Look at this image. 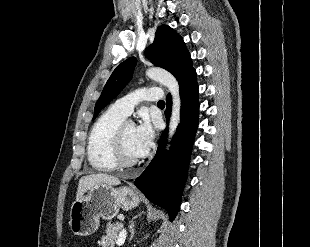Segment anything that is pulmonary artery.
Here are the masks:
<instances>
[{
    "label": "pulmonary artery",
    "instance_id": "e3ab8cb5",
    "mask_svg": "<svg viewBox=\"0 0 310 247\" xmlns=\"http://www.w3.org/2000/svg\"><path fill=\"white\" fill-rule=\"evenodd\" d=\"M163 97L162 89L159 87H145L118 99L113 107L122 115H130L134 107L140 101H160Z\"/></svg>",
    "mask_w": 310,
    "mask_h": 247
}]
</instances>
